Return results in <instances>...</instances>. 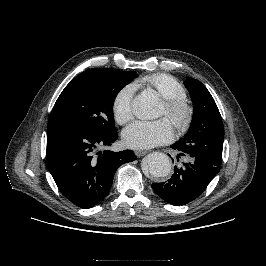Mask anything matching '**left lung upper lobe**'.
Masks as SVG:
<instances>
[{
  "mask_svg": "<svg viewBox=\"0 0 266 266\" xmlns=\"http://www.w3.org/2000/svg\"><path fill=\"white\" fill-rule=\"evenodd\" d=\"M185 86L193 102V119L188 133L174 146L183 153L221 166L224 127L218 107L200 81L189 77Z\"/></svg>",
  "mask_w": 266,
  "mask_h": 266,
  "instance_id": "1",
  "label": "left lung upper lobe"
}]
</instances>
